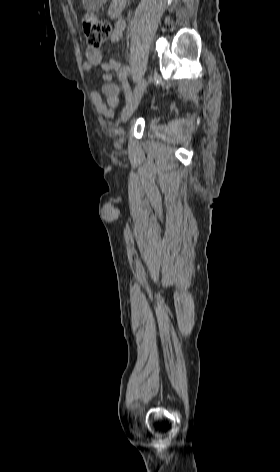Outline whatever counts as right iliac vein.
Instances as JSON below:
<instances>
[{
  "label": "right iliac vein",
  "instance_id": "1",
  "mask_svg": "<svg viewBox=\"0 0 280 472\" xmlns=\"http://www.w3.org/2000/svg\"><path fill=\"white\" fill-rule=\"evenodd\" d=\"M146 85H147V83H146L145 79H142L138 82V85L135 88L134 94L130 97V99L128 100L126 106L123 109V112H122V122L123 123H125L132 116L134 111L137 109V107L140 103V100L143 96V93L146 89ZM121 132H122V130H121ZM120 140L123 141L122 138Z\"/></svg>",
  "mask_w": 280,
  "mask_h": 472
}]
</instances>
